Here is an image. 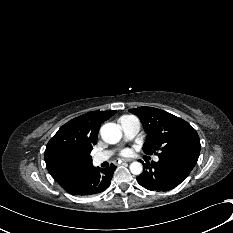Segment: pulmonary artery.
I'll return each instance as SVG.
<instances>
[{
  "label": "pulmonary artery",
  "instance_id": "1",
  "mask_svg": "<svg viewBox=\"0 0 233 233\" xmlns=\"http://www.w3.org/2000/svg\"><path fill=\"white\" fill-rule=\"evenodd\" d=\"M120 127L123 131L125 139L129 140L135 137L140 130V121L133 116H123L119 119ZM113 151H104L94 155L93 163L98 165L106 160H108ZM155 161H158V157H154Z\"/></svg>",
  "mask_w": 233,
  "mask_h": 233
}]
</instances>
